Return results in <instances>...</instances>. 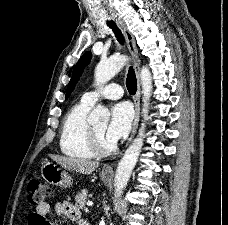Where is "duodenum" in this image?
Here are the masks:
<instances>
[{"label":"duodenum","mask_w":228,"mask_h":225,"mask_svg":"<svg viewBox=\"0 0 228 225\" xmlns=\"http://www.w3.org/2000/svg\"><path fill=\"white\" fill-rule=\"evenodd\" d=\"M80 225H88V223L85 222V221H81V222H80Z\"/></svg>","instance_id":"duodenum-1"}]
</instances>
